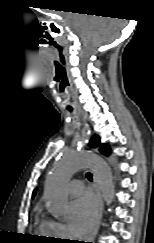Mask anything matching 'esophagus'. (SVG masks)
Instances as JSON below:
<instances>
[{
	"label": "esophagus",
	"mask_w": 154,
	"mask_h": 243,
	"mask_svg": "<svg viewBox=\"0 0 154 243\" xmlns=\"http://www.w3.org/2000/svg\"><path fill=\"white\" fill-rule=\"evenodd\" d=\"M80 113V112H79ZM82 120L85 122L86 121V115L81 113ZM94 190L96 194V200H97V207H96V220L94 224V228L91 232V234L87 237V242L88 243H93L94 239L99 231L101 220H102V214H103V200H102V195L97 183V180L94 176Z\"/></svg>",
	"instance_id": "1"
}]
</instances>
